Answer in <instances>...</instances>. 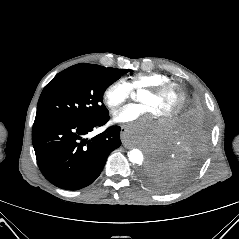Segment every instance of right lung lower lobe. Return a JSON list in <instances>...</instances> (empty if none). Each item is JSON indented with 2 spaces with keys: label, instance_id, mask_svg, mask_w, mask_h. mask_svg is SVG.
Segmentation results:
<instances>
[{
  "label": "right lung lower lobe",
  "instance_id": "98d812e1",
  "mask_svg": "<svg viewBox=\"0 0 239 239\" xmlns=\"http://www.w3.org/2000/svg\"><path fill=\"white\" fill-rule=\"evenodd\" d=\"M109 118L107 114L93 121L35 119L32 142L44 177L66 190H78L93 183L108 155L121 145V129L111 126L92 139L86 135Z\"/></svg>",
  "mask_w": 239,
  "mask_h": 239
}]
</instances>
